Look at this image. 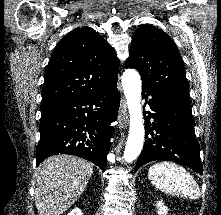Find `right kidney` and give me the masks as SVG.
Returning a JSON list of instances; mask_svg holds the SVG:
<instances>
[{"label": "right kidney", "mask_w": 221, "mask_h": 215, "mask_svg": "<svg viewBox=\"0 0 221 215\" xmlns=\"http://www.w3.org/2000/svg\"><path fill=\"white\" fill-rule=\"evenodd\" d=\"M68 215H83L81 209L79 208H74L73 210L68 213Z\"/></svg>", "instance_id": "ca27d5eb"}]
</instances>
